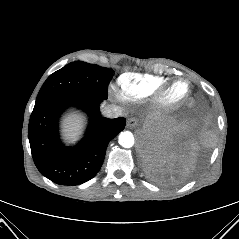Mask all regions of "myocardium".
Masks as SVG:
<instances>
[{"mask_svg":"<svg viewBox=\"0 0 239 239\" xmlns=\"http://www.w3.org/2000/svg\"><path fill=\"white\" fill-rule=\"evenodd\" d=\"M177 86H184V94L177 98L172 99L170 94L172 90ZM190 95V85L186 80H175L167 83L153 94V104L155 108L162 111H172L183 105Z\"/></svg>","mask_w":239,"mask_h":239,"instance_id":"f54148a6","label":"myocardium"}]
</instances>
